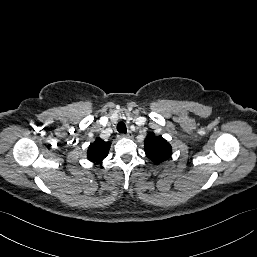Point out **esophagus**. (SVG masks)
I'll return each mask as SVG.
<instances>
[{
	"label": "esophagus",
	"mask_w": 257,
	"mask_h": 257,
	"mask_svg": "<svg viewBox=\"0 0 257 257\" xmlns=\"http://www.w3.org/2000/svg\"><path fill=\"white\" fill-rule=\"evenodd\" d=\"M120 137H123V138H132V133H131V132H128L127 134H121Z\"/></svg>",
	"instance_id": "34e87169"
}]
</instances>
